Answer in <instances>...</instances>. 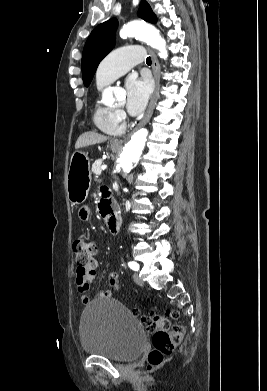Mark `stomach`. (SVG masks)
<instances>
[{
	"label": "stomach",
	"mask_w": 267,
	"mask_h": 391,
	"mask_svg": "<svg viewBox=\"0 0 267 391\" xmlns=\"http://www.w3.org/2000/svg\"><path fill=\"white\" fill-rule=\"evenodd\" d=\"M111 150L116 152L118 147L111 145ZM91 183L90 161L86 154L76 151L70 161L67 174V195L74 205L82 204L87 198Z\"/></svg>",
	"instance_id": "0dacf381"
}]
</instances>
